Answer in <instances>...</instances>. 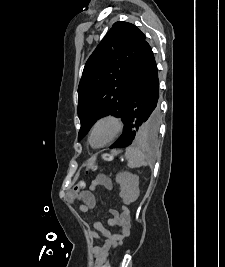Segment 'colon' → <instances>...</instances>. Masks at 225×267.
<instances>
[{
  "instance_id": "obj_1",
  "label": "colon",
  "mask_w": 225,
  "mask_h": 267,
  "mask_svg": "<svg viewBox=\"0 0 225 267\" xmlns=\"http://www.w3.org/2000/svg\"><path fill=\"white\" fill-rule=\"evenodd\" d=\"M105 159H110V156L104 155ZM85 188V183L83 181L79 182L78 184L75 185L74 187V192L75 193H80L84 190ZM103 267H111L109 260H107L104 264Z\"/></svg>"
}]
</instances>
